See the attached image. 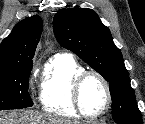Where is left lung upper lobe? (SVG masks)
<instances>
[{
	"mask_svg": "<svg viewBox=\"0 0 145 124\" xmlns=\"http://www.w3.org/2000/svg\"><path fill=\"white\" fill-rule=\"evenodd\" d=\"M53 30L62 47L73 51L108 82L117 124H142L128 71L109 29L91 9H62L53 19Z\"/></svg>",
	"mask_w": 145,
	"mask_h": 124,
	"instance_id": "5c2ea615",
	"label": "left lung upper lobe"
}]
</instances>
